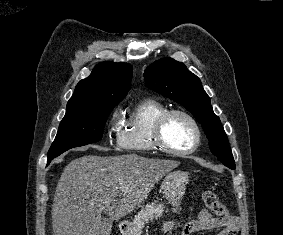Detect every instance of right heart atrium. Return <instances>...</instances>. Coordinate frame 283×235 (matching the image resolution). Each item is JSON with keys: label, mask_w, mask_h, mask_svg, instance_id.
I'll use <instances>...</instances> for the list:
<instances>
[{"label": "right heart atrium", "mask_w": 283, "mask_h": 235, "mask_svg": "<svg viewBox=\"0 0 283 235\" xmlns=\"http://www.w3.org/2000/svg\"><path fill=\"white\" fill-rule=\"evenodd\" d=\"M115 121H116V115L113 116V122H115Z\"/></svg>", "instance_id": "d8ad5b80"}]
</instances>
